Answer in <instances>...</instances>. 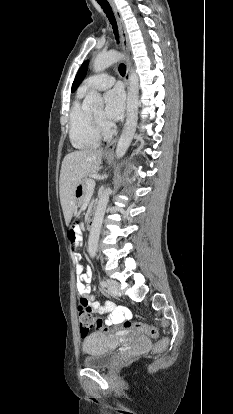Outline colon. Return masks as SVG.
<instances>
[{"instance_id": "colon-1", "label": "colon", "mask_w": 233, "mask_h": 414, "mask_svg": "<svg viewBox=\"0 0 233 414\" xmlns=\"http://www.w3.org/2000/svg\"><path fill=\"white\" fill-rule=\"evenodd\" d=\"M78 229L76 223H72L68 228V241L72 252L78 251L81 236L78 235ZM78 320L80 326L81 336L84 337L88 332L95 328L100 332H118V331H136L142 334L148 335L152 338H157L159 335L158 330L150 325L142 322H133L126 320L122 323L121 327H115L109 329L105 327L101 319L94 317L92 308L89 301L85 297H80L78 302Z\"/></svg>"}]
</instances>
